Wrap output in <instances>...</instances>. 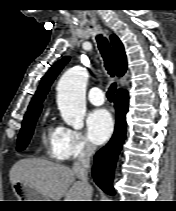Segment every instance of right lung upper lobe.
Returning <instances> with one entry per match:
<instances>
[{"label": "right lung upper lobe", "mask_w": 176, "mask_h": 211, "mask_svg": "<svg viewBox=\"0 0 176 211\" xmlns=\"http://www.w3.org/2000/svg\"><path fill=\"white\" fill-rule=\"evenodd\" d=\"M110 40L112 43L113 53H114V65L117 76H123L126 72L127 68V61H126V55L124 52V47L119 40V38L116 35H111ZM70 57H64L60 61H58L42 78V82L36 91L32 101L30 102L28 106V111L26 112L25 116L34 114V113H40L42 109V102L48 93V90L56 78V76L59 74L61 69L64 67V65L69 61ZM118 91H122L119 89Z\"/></svg>", "instance_id": "cb5924a9"}]
</instances>
